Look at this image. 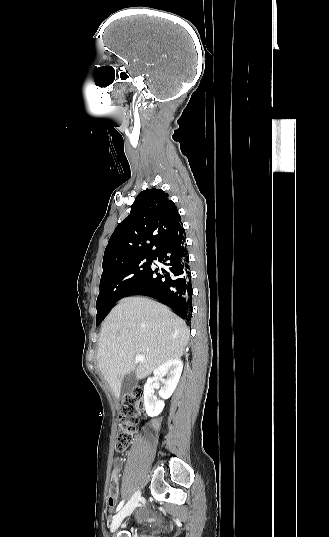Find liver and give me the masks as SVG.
<instances>
[{
  "mask_svg": "<svg viewBox=\"0 0 329 537\" xmlns=\"http://www.w3.org/2000/svg\"><path fill=\"white\" fill-rule=\"evenodd\" d=\"M186 323L168 307L145 297H127L105 319L97 363L116 398L122 378L135 371L145 378L162 364L180 359L189 341ZM144 361L138 362L137 356Z\"/></svg>",
  "mask_w": 329,
  "mask_h": 537,
  "instance_id": "6515ba94",
  "label": "liver"
}]
</instances>
